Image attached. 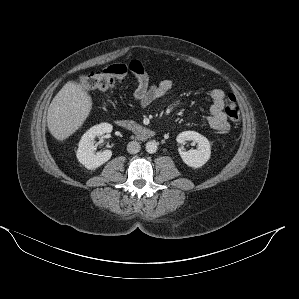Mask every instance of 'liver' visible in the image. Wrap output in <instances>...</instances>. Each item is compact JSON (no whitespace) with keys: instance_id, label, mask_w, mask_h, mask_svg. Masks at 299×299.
Segmentation results:
<instances>
[{"instance_id":"liver-1","label":"liver","mask_w":299,"mask_h":299,"mask_svg":"<svg viewBox=\"0 0 299 299\" xmlns=\"http://www.w3.org/2000/svg\"><path fill=\"white\" fill-rule=\"evenodd\" d=\"M91 109V97L78 83L68 81L48 108L47 126L51 135L58 141L66 140L82 126Z\"/></svg>"}]
</instances>
